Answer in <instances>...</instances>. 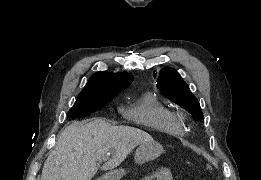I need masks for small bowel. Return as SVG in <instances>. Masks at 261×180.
<instances>
[{
	"instance_id": "c3829d8e",
	"label": "small bowel",
	"mask_w": 261,
	"mask_h": 180,
	"mask_svg": "<svg viewBox=\"0 0 261 180\" xmlns=\"http://www.w3.org/2000/svg\"><path fill=\"white\" fill-rule=\"evenodd\" d=\"M151 178L154 180H171L172 176L168 169L160 167L152 174Z\"/></svg>"
}]
</instances>
